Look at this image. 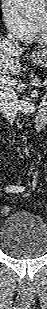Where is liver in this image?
<instances>
[{
  "mask_svg": "<svg viewBox=\"0 0 47 309\" xmlns=\"http://www.w3.org/2000/svg\"><path fill=\"white\" fill-rule=\"evenodd\" d=\"M24 49L18 43L0 38V79L6 75H17L20 72L21 66L18 57L22 55Z\"/></svg>",
  "mask_w": 47,
  "mask_h": 309,
  "instance_id": "1",
  "label": "liver"
}]
</instances>
